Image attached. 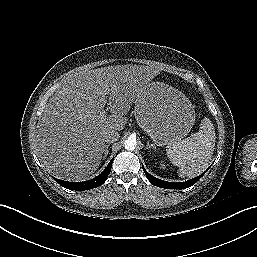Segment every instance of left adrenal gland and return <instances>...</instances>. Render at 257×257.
Instances as JSON below:
<instances>
[{"instance_id":"obj_1","label":"left adrenal gland","mask_w":257,"mask_h":257,"mask_svg":"<svg viewBox=\"0 0 257 257\" xmlns=\"http://www.w3.org/2000/svg\"><path fill=\"white\" fill-rule=\"evenodd\" d=\"M147 149L153 148L156 151V146H154L153 144H150L149 141H147Z\"/></svg>"}]
</instances>
